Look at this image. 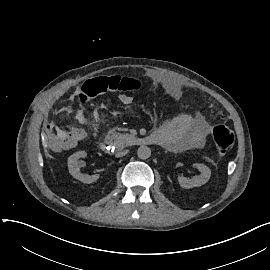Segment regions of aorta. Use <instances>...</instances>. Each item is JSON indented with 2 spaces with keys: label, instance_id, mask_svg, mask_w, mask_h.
I'll use <instances>...</instances> for the list:
<instances>
[{
  "label": "aorta",
  "instance_id": "1",
  "mask_svg": "<svg viewBox=\"0 0 270 270\" xmlns=\"http://www.w3.org/2000/svg\"><path fill=\"white\" fill-rule=\"evenodd\" d=\"M137 155L140 159H148L151 156V149L147 146H140Z\"/></svg>",
  "mask_w": 270,
  "mask_h": 270
}]
</instances>
